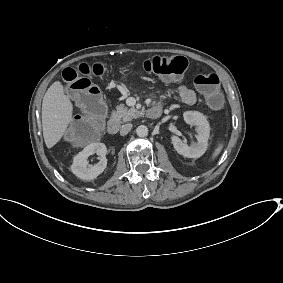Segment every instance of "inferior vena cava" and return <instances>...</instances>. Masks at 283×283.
Here are the masks:
<instances>
[{
    "mask_svg": "<svg viewBox=\"0 0 283 283\" xmlns=\"http://www.w3.org/2000/svg\"><path fill=\"white\" fill-rule=\"evenodd\" d=\"M132 129V124L131 123H127L122 125L121 129H120V135L124 136L127 135Z\"/></svg>",
    "mask_w": 283,
    "mask_h": 283,
    "instance_id": "1",
    "label": "inferior vena cava"
}]
</instances>
